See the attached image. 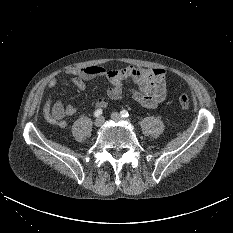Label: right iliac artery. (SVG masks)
I'll return each instance as SVG.
<instances>
[{
  "instance_id": "82829eb1",
  "label": "right iliac artery",
  "mask_w": 233,
  "mask_h": 233,
  "mask_svg": "<svg viewBox=\"0 0 233 233\" xmlns=\"http://www.w3.org/2000/svg\"><path fill=\"white\" fill-rule=\"evenodd\" d=\"M102 109H97L95 112H94V116L95 117H99L101 114H102Z\"/></svg>"
}]
</instances>
